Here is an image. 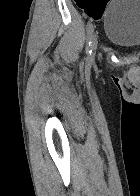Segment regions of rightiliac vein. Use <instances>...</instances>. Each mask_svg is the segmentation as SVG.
I'll use <instances>...</instances> for the list:
<instances>
[{"mask_svg":"<svg viewBox=\"0 0 140 196\" xmlns=\"http://www.w3.org/2000/svg\"><path fill=\"white\" fill-rule=\"evenodd\" d=\"M97 46H98V36L94 33L92 35L91 54H88L87 56V62L89 64H91L94 60V54L97 50Z\"/></svg>","mask_w":140,"mask_h":196,"instance_id":"1","label":"right iliac vein"}]
</instances>
